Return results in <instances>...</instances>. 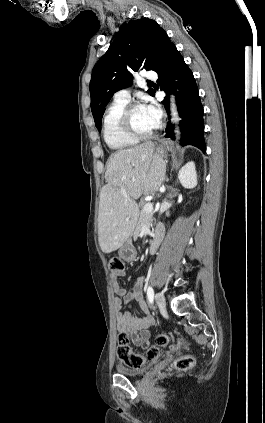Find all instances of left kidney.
<instances>
[{"label": "left kidney", "mask_w": 265, "mask_h": 423, "mask_svg": "<svg viewBox=\"0 0 265 423\" xmlns=\"http://www.w3.org/2000/svg\"><path fill=\"white\" fill-rule=\"evenodd\" d=\"M179 180L183 187L194 188L197 185V174L194 162H188L179 172Z\"/></svg>", "instance_id": "obj_1"}]
</instances>
